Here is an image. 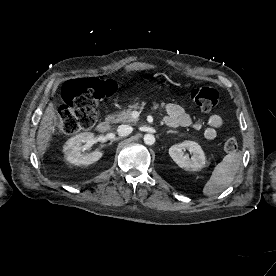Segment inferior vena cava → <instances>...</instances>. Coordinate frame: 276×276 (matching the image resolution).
<instances>
[{
  "label": "inferior vena cava",
  "instance_id": "obj_1",
  "mask_svg": "<svg viewBox=\"0 0 276 276\" xmlns=\"http://www.w3.org/2000/svg\"><path fill=\"white\" fill-rule=\"evenodd\" d=\"M133 131L130 125H120L117 129L119 136H128Z\"/></svg>",
  "mask_w": 276,
  "mask_h": 276
}]
</instances>
